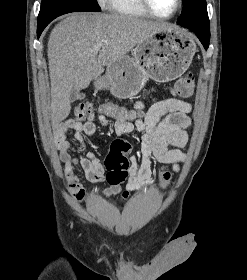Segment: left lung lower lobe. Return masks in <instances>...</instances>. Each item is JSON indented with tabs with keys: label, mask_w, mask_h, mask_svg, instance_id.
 <instances>
[{
	"label": "left lung lower lobe",
	"mask_w": 247,
	"mask_h": 280,
	"mask_svg": "<svg viewBox=\"0 0 247 280\" xmlns=\"http://www.w3.org/2000/svg\"><path fill=\"white\" fill-rule=\"evenodd\" d=\"M177 24H179V23L177 22ZM190 30L193 31L197 35V37L199 38V40L203 44L204 48L207 49L208 46H209L210 34L202 33V32H200L196 29H193V28H191Z\"/></svg>",
	"instance_id": "1"
}]
</instances>
